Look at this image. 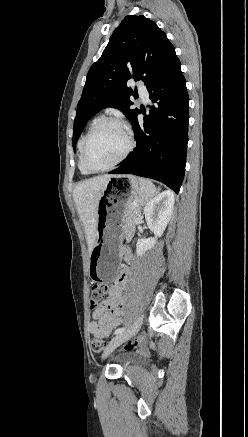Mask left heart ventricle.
I'll return each instance as SVG.
<instances>
[{
  "mask_svg": "<svg viewBox=\"0 0 248 437\" xmlns=\"http://www.w3.org/2000/svg\"><path fill=\"white\" fill-rule=\"evenodd\" d=\"M127 147L126 135L116 124L102 127L88 147V161L94 168H105L114 163Z\"/></svg>",
  "mask_w": 248,
  "mask_h": 437,
  "instance_id": "1",
  "label": "left heart ventricle"
}]
</instances>
